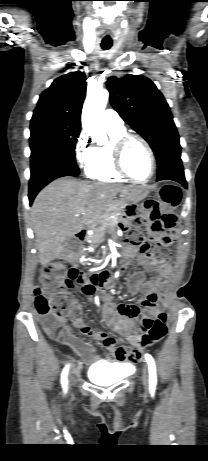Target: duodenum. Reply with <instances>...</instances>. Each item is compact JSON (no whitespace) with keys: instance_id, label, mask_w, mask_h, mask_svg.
Listing matches in <instances>:
<instances>
[{"instance_id":"obj_1","label":"duodenum","mask_w":208,"mask_h":461,"mask_svg":"<svg viewBox=\"0 0 208 461\" xmlns=\"http://www.w3.org/2000/svg\"><path fill=\"white\" fill-rule=\"evenodd\" d=\"M88 235H89V232L87 229H82L80 230L78 233H77V238L78 240H80L81 242H84L87 240L88 238ZM112 280V279H111Z\"/></svg>"}]
</instances>
